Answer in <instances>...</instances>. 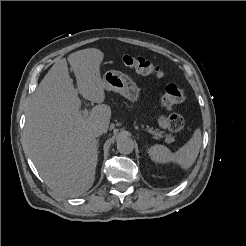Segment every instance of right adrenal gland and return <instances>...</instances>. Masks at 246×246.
Instances as JSON below:
<instances>
[{"label": "right adrenal gland", "mask_w": 246, "mask_h": 246, "mask_svg": "<svg viewBox=\"0 0 246 246\" xmlns=\"http://www.w3.org/2000/svg\"><path fill=\"white\" fill-rule=\"evenodd\" d=\"M98 141H99V139H97V147H99Z\"/></svg>", "instance_id": "2a0ac1e0"}]
</instances>
